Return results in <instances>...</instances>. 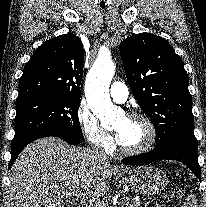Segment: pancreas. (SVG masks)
<instances>
[{
    "label": "pancreas",
    "instance_id": "obj_1",
    "mask_svg": "<svg viewBox=\"0 0 206 207\" xmlns=\"http://www.w3.org/2000/svg\"><path fill=\"white\" fill-rule=\"evenodd\" d=\"M121 203H123V202L121 201ZM93 207H108L107 206V200L106 201L98 202ZM126 207H140V204L136 203V202H131V203H127Z\"/></svg>",
    "mask_w": 206,
    "mask_h": 207
}]
</instances>
